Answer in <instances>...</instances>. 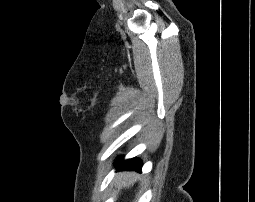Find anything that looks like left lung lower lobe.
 I'll return each instance as SVG.
<instances>
[{
	"label": "left lung lower lobe",
	"instance_id": "1",
	"mask_svg": "<svg viewBox=\"0 0 255 202\" xmlns=\"http://www.w3.org/2000/svg\"><path fill=\"white\" fill-rule=\"evenodd\" d=\"M116 167L118 170L141 171L142 162L138 158H132L125 161L122 158H119L117 160Z\"/></svg>",
	"mask_w": 255,
	"mask_h": 202
}]
</instances>
